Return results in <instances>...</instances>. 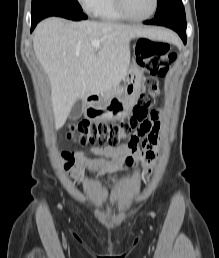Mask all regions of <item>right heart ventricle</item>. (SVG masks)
<instances>
[{
	"label": "right heart ventricle",
	"instance_id": "e07e8e85",
	"mask_svg": "<svg viewBox=\"0 0 219 258\" xmlns=\"http://www.w3.org/2000/svg\"><path fill=\"white\" fill-rule=\"evenodd\" d=\"M95 16L110 21H117L124 19L118 12L114 0H100L95 11Z\"/></svg>",
	"mask_w": 219,
	"mask_h": 258
}]
</instances>
